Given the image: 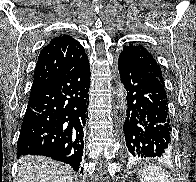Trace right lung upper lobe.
I'll return each mask as SVG.
<instances>
[{
  "label": "right lung upper lobe",
  "mask_w": 196,
  "mask_h": 182,
  "mask_svg": "<svg viewBox=\"0 0 196 182\" xmlns=\"http://www.w3.org/2000/svg\"><path fill=\"white\" fill-rule=\"evenodd\" d=\"M86 56L83 46L68 35H59L51 39L40 51L31 93L67 72Z\"/></svg>",
  "instance_id": "cb5924a9"
}]
</instances>
